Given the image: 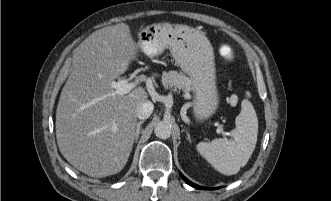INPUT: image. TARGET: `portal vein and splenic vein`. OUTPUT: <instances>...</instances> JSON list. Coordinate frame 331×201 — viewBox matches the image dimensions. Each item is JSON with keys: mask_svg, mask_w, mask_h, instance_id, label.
<instances>
[{"mask_svg": "<svg viewBox=\"0 0 331 201\" xmlns=\"http://www.w3.org/2000/svg\"><path fill=\"white\" fill-rule=\"evenodd\" d=\"M130 78L121 79L118 81H112L111 86L115 89L117 95H125L129 93L138 84V81L130 82ZM217 133L225 134L222 128L217 129Z\"/></svg>", "mask_w": 331, "mask_h": 201, "instance_id": "obj_1", "label": "portal vein and splenic vein"}]
</instances>
